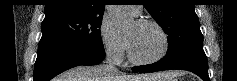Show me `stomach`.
I'll return each mask as SVG.
<instances>
[{
	"instance_id": "0dacf381",
	"label": "stomach",
	"mask_w": 237,
	"mask_h": 81,
	"mask_svg": "<svg viewBox=\"0 0 237 81\" xmlns=\"http://www.w3.org/2000/svg\"><path fill=\"white\" fill-rule=\"evenodd\" d=\"M151 81H174V80H172V78L170 77H162V78L159 77Z\"/></svg>"
}]
</instances>
